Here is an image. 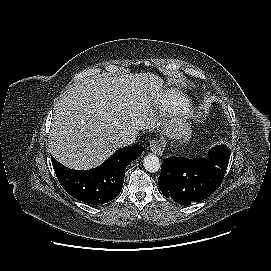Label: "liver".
I'll return each instance as SVG.
<instances>
[{
	"mask_svg": "<svg viewBox=\"0 0 271 271\" xmlns=\"http://www.w3.org/2000/svg\"><path fill=\"white\" fill-rule=\"evenodd\" d=\"M163 83L153 73L88 77L76 83L54 107L51 154L72 169L99 166L118 149L119 134L158 126L152 101L163 92Z\"/></svg>",
	"mask_w": 271,
	"mask_h": 271,
	"instance_id": "6515ba94",
	"label": "liver"
}]
</instances>
